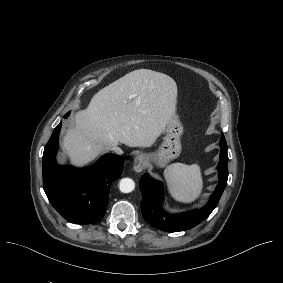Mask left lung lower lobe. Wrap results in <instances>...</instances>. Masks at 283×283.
Returning a JSON list of instances; mask_svg holds the SVG:
<instances>
[{"mask_svg": "<svg viewBox=\"0 0 283 283\" xmlns=\"http://www.w3.org/2000/svg\"><path fill=\"white\" fill-rule=\"evenodd\" d=\"M220 148V161L217 166L219 183L211 195L209 203L200 210L180 215L165 212L161 207L163 184L151 178L147 173L141 177L139 185L142 201L140 207L143 218L152 227L167 232H179L195 227L210 215L217 206L228 179L227 144L223 134H221Z\"/></svg>", "mask_w": 283, "mask_h": 283, "instance_id": "0a47b994", "label": "left lung lower lobe"}]
</instances>
